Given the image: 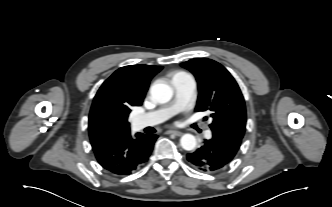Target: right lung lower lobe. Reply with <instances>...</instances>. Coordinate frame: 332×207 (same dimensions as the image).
Listing matches in <instances>:
<instances>
[{
  "label": "right lung lower lobe",
  "instance_id": "right-lung-lower-lobe-1",
  "mask_svg": "<svg viewBox=\"0 0 332 207\" xmlns=\"http://www.w3.org/2000/svg\"><path fill=\"white\" fill-rule=\"evenodd\" d=\"M154 134L129 133L117 142L94 150L99 164L116 175H129L145 163L157 139Z\"/></svg>",
  "mask_w": 332,
  "mask_h": 207
}]
</instances>
